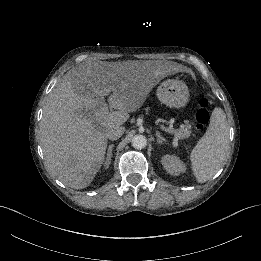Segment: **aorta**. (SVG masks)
Segmentation results:
<instances>
[{
    "instance_id": "1",
    "label": "aorta",
    "mask_w": 261,
    "mask_h": 261,
    "mask_svg": "<svg viewBox=\"0 0 261 261\" xmlns=\"http://www.w3.org/2000/svg\"><path fill=\"white\" fill-rule=\"evenodd\" d=\"M131 144L135 149H143L147 145V139L144 135H135L132 138Z\"/></svg>"
}]
</instances>
